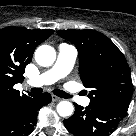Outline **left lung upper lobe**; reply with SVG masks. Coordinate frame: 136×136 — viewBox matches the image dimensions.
<instances>
[{
    "instance_id": "obj_1",
    "label": "left lung upper lobe",
    "mask_w": 136,
    "mask_h": 136,
    "mask_svg": "<svg viewBox=\"0 0 136 136\" xmlns=\"http://www.w3.org/2000/svg\"><path fill=\"white\" fill-rule=\"evenodd\" d=\"M58 35L78 49L84 86L91 88L90 102L127 111L132 80L122 52L104 34L94 30H60Z\"/></svg>"
}]
</instances>
